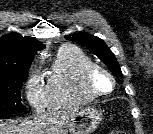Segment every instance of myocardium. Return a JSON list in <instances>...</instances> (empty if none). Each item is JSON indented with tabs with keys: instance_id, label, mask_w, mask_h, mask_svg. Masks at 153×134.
Here are the masks:
<instances>
[{
	"instance_id": "1",
	"label": "myocardium",
	"mask_w": 153,
	"mask_h": 134,
	"mask_svg": "<svg viewBox=\"0 0 153 134\" xmlns=\"http://www.w3.org/2000/svg\"><path fill=\"white\" fill-rule=\"evenodd\" d=\"M96 73H102L109 78L111 82V88L108 91L102 92L94 88L92 81ZM81 83L84 91L93 98L103 97L111 94L116 86V81L114 76L106 68L95 63L88 65L83 70L81 76Z\"/></svg>"
}]
</instances>
